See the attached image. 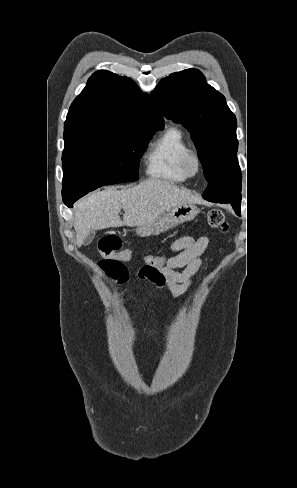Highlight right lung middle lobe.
<instances>
[{"label":"right lung middle lobe","mask_w":297,"mask_h":488,"mask_svg":"<svg viewBox=\"0 0 297 488\" xmlns=\"http://www.w3.org/2000/svg\"><path fill=\"white\" fill-rule=\"evenodd\" d=\"M158 126L135 127L123 135L65 142L62 154L66 205L103 185L138 180L139 159Z\"/></svg>","instance_id":"right-lung-middle-lobe-1"}]
</instances>
